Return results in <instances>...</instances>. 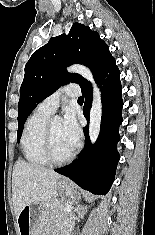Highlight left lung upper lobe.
Segmentation results:
<instances>
[{"mask_svg":"<svg viewBox=\"0 0 155 235\" xmlns=\"http://www.w3.org/2000/svg\"><path fill=\"white\" fill-rule=\"evenodd\" d=\"M113 60L108 45L100 39L98 33L77 22L72 25L68 35L53 37L36 50L25 65L24 80L20 87L17 141L20 140L29 114L61 85L70 82L79 84L81 88L90 85L79 74L68 73L66 66L71 63L84 64L97 80Z\"/></svg>","mask_w":155,"mask_h":235,"instance_id":"1","label":"left lung upper lobe"}]
</instances>
